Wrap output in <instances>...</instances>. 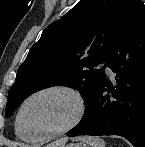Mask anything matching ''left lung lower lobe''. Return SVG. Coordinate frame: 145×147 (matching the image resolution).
Returning a JSON list of instances; mask_svg holds the SVG:
<instances>
[{"mask_svg": "<svg viewBox=\"0 0 145 147\" xmlns=\"http://www.w3.org/2000/svg\"><path fill=\"white\" fill-rule=\"evenodd\" d=\"M105 63L116 73L113 82L104 74L83 118L66 135H119L134 147H145V5L142 1L131 0Z\"/></svg>", "mask_w": 145, "mask_h": 147, "instance_id": "obj_1", "label": "left lung lower lobe"}]
</instances>
